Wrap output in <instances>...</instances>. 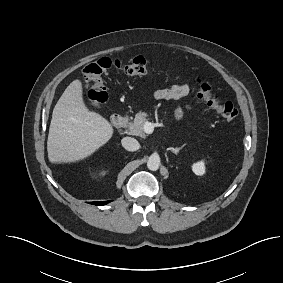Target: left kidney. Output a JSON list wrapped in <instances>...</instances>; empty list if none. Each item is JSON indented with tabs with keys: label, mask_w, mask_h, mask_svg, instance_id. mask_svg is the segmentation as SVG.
Wrapping results in <instances>:
<instances>
[{
	"label": "left kidney",
	"mask_w": 283,
	"mask_h": 283,
	"mask_svg": "<svg viewBox=\"0 0 283 283\" xmlns=\"http://www.w3.org/2000/svg\"><path fill=\"white\" fill-rule=\"evenodd\" d=\"M192 171L199 176L205 173V163L204 161H198L192 165Z\"/></svg>",
	"instance_id": "obj_1"
}]
</instances>
